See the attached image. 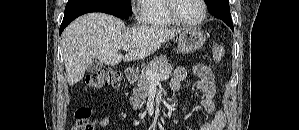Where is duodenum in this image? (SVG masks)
<instances>
[{
    "instance_id": "obj_1",
    "label": "duodenum",
    "mask_w": 299,
    "mask_h": 130,
    "mask_svg": "<svg viewBox=\"0 0 299 130\" xmlns=\"http://www.w3.org/2000/svg\"><path fill=\"white\" fill-rule=\"evenodd\" d=\"M125 76L128 81H133L136 78V72L133 68H127L125 70Z\"/></svg>"
}]
</instances>
